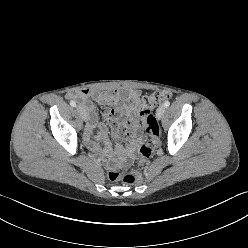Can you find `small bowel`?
<instances>
[{
	"mask_svg": "<svg viewBox=\"0 0 248 248\" xmlns=\"http://www.w3.org/2000/svg\"><path fill=\"white\" fill-rule=\"evenodd\" d=\"M140 93L136 89L119 88L112 91L81 90L71 92L68 97L79 100L90 113L91 120L84 132V141L95 151L121 160L131 159L137 147L143 143L144 135L134 115L139 107ZM92 101L106 105L103 110L104 122L99 123L96 131V115ZM109 129L116 140L112 149Z\"/></svg>",
	"mask_w": 248,
	"mask_h": 248,
	"instance_id": "small-bowel-1",
	"label": "small bowel"
}]
</instances>
